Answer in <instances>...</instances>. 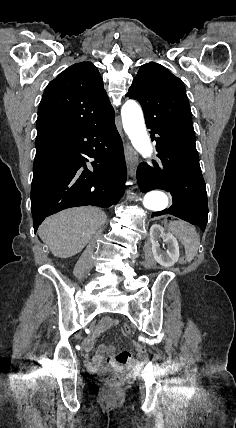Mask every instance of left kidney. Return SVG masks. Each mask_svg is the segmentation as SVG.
Here are the masks:
<instances>
[{
    "instance_id": "obj_1",
    "label": "left kidney",
    "mask_w": 236,
    "mask_h": 428,
    "mask_svg": "<svg viewBox=\"0 0 236 428\" xmlns=\"http://www.w3.org/2000/svg\"><path fill=\"white\" fill-rule=\"evenodd\" d=\"M159 238H163L167 248L166 250H161L160 244H158ZM150 240L152 244V254L154 260L160 264V266H165V268H170L174 266L179 260V246L176 238L172 234H165L164 228L154 224L151 226Z\"/></svg>"
}]
</instances>
